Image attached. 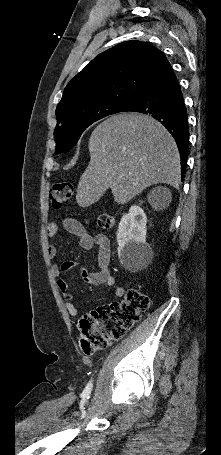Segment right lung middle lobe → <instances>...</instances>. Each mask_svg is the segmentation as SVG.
Returning <instances> with one entry per match:
<instances>
[{"label":"right lung middle lobe","mask_w":221,"mask_h":455,"mask_svg":"<svg viewBox=\"0 0 221 455\" xmlns=\"http://www.w3.org/2000/svg\"><path fill=\"white\" fill-rule=\"evenodd\" d=\"M129 104L118 101L95 103L57 119L54 131L57 154L66 153L75 146L81 134L92 123L108 115L123 112Z\"/></svg>","instance_id":"dd1d6c3e"}]
</instances>
